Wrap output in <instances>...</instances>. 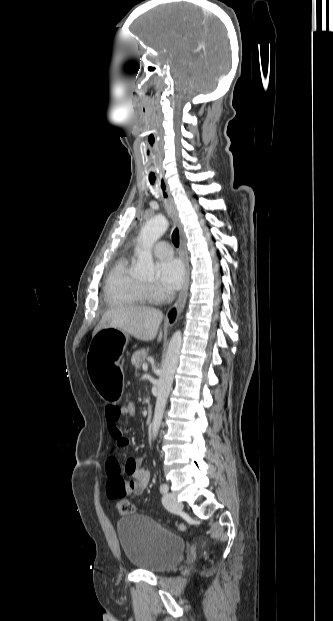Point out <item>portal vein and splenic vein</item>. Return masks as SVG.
I'll use <instances>...</instances> for the list:
<instances>
[{"label":"portal vein and splenic vein","mask_w":333,"mask_h":621,"mask_svg":"<svg viewBox=\"0 0 333 621\" xmlns=\"http://www.w3.org/2000/svg\"><path fill=\"white\" fill-rule=\"evenodd\" d=\"M142 369H143L144 371H147V370H148V365H147V364H143Z\"/></svg>","instance_id":"18ae733b"}]
</instances>
